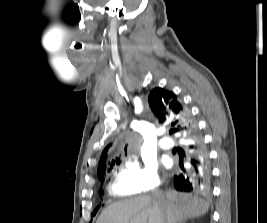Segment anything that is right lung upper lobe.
<instances>
[{"instance_id": "cb5924a9", "label": "right lung upper lobe", "mask_w": 267, "mask_h": 223, "mask_svg": "<svg viewBox=\"0 0 267 223\" xmlns=\"http://www.w3.org/2000/svg\"><path fill=\"white\" fill-rule=\"evenodd\" d=\"M148 101L159 122L167 123L174 127L173 130L180 133L182 138H185L186 134L196 125L189 110L182 105L173 92L160 87L154 88L148 97ZM106 152L107 149H104L98 165L99 179L105 173L106 163L104 158ZM116 162L118 163L119 161L116 159ZM112 163H114V160Z\"/></svg>"}]
</instances>
